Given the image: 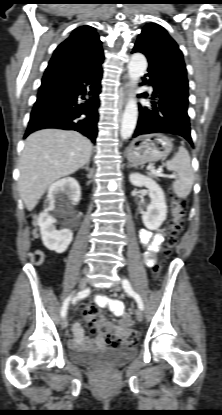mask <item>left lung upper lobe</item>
<instances>
[{
  "mask_svg": "<svg viewBox=\"0 0 222 415\" xmlns=\"http://www.w3.org/2000/svg\"><path fill=\"white\" fill-rule=\"evenodd\" d=\"M135 46L142 49L147 57L168 58L184 62L177 43L160 25L149 23L139 35Z\"/></svg>",
  "mask_w": 222,
  "mask_h": 415,
  "instance_id": "1",
  "label": "left lung upper lobe"
}]
</instances>
